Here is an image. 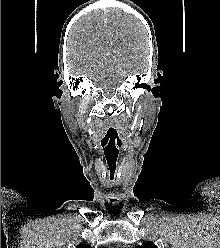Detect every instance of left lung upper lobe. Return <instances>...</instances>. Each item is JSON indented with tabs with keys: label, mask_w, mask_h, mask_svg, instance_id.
<instances>
[{
	"label": "left lung upper lobe",
	"mask_w": 220,
	"mask_h": 248,
	"mask_svg": "<svg viewBox=\"0 0 220 248\" xmlns=\"http://www.w3.org/2000/svg\"><path fill=\"white\" fill-rule=\"evenodd\" d=\"M137 248H158V247L153 243H145L141 246H138Z\"/></svg>",
	"instance_id": "left-lung-upper-lobe-1"
}]
</instances>
